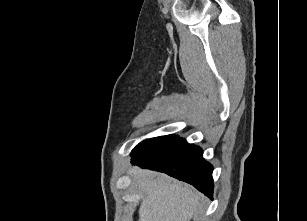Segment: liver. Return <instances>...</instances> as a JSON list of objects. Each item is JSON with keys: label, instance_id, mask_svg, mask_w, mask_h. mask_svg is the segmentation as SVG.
I'll list each match as a JSON object with an SVG mask.
<instances>
[{"label": "liver", "instance_id": "liver-1", "mask_svg": "<svg viewBox=\"0 0 307 221\" xmlns=\"http://www.w3.org/2000/svg\"><path fill=\"white\" fill-rule=\"evenodd\" d=\"M143 194L139 221H190L201 209V196L191 187L155 172L135 174Z\"/></svg>", "mask_w": 307, "mask_h": 221}]
</instances>
